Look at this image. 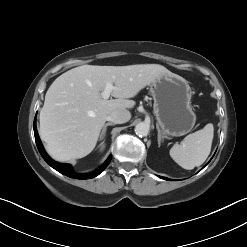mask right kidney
Returning <instances> with one entry per match:
<instances>
[{
    "mask_svg": "<svg viewBox=\"0 0 247 247\" xmlns=\"http://www.w3.org/2000/svg\"><path fill=\"white\" fill-rule=\"evenodd\" d=\"M104 147H105V145L102 143V144H101V150H103Z\"/></svg>",
    "mask_w": 247,
    "mask_h": 247,
    "instance_id": "obj_1",
    "label": "right kidney"
}]
</instances>
